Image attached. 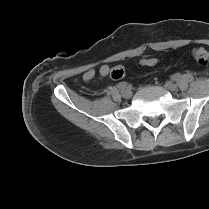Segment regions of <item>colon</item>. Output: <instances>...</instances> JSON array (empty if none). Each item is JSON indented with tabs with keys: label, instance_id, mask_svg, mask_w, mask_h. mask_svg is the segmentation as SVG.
<instances>
[{
	"label": "colon",
	"instance_id": "obj_1",
	"mask_svg": "<svg viewBox=\"0 0 209 209\" xmlns=\"http://www.w3.org/2000/svg\"><path fill=\"white\" fill-rule=\"evenodd\" d=\"M193 58L195 62L200 66H207L209 64V51L205 48H195L193 50ZM158 63L156 58H145L140 61V64L146 67L155 66ZM125 69L122 66H115L110 71V77L113 80H119L123 78Z\"/></svg>",
	"mask_w": 209,
	"mask_h": 209
}]
</instances>
